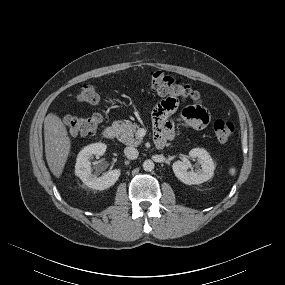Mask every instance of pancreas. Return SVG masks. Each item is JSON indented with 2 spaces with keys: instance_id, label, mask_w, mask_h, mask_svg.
<instances>
[{
  "instance_id": "cf45deb5",
  "label": "pancreas",
  "mask_w": 285,
  "mask_h": 285,
  "mask_svg": "<svg viewBox=\"0 0 285 285\" xmlns=\"http://www.w3.org/2000/svg\"><path fill=\"white\" fill-rule=\"evenodd\" d=\"M114 127L118 129V140L126 145L139 146L142 139L136 137L135 133L137 130L136 125L131 122L115 121L113 123Z\"/></svg>"
}]
</instances>
